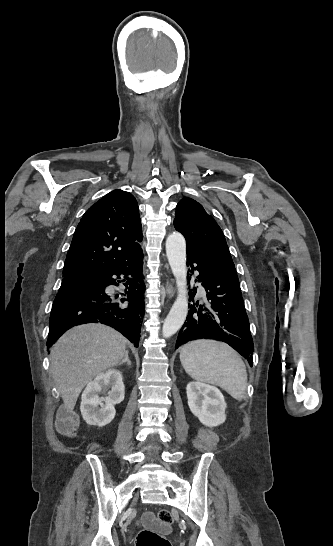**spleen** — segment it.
<instances>
[{"instance_id": "obj_1", "label": "spleen", "mask_w": 333, "mask_h": 546, "mask_svg": "<svg viewBox=\"0 0 333 546\" xmlns=\"http://www.w3.org/2000/svg\"><path fill=\"white\" fill-rule=\"evenodd\" d=\"M180 361L193 379L220 386L238 401L244 398L246 367L227 344L204 339L191 341L181 347Z\"/></svg>"}]
</instances>
